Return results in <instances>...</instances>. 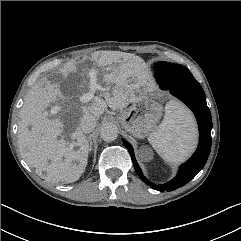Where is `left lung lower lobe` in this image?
Wrapping results in <instances>:
<instances>
[{
	"label": "left lung lower lobe",
	"mask_w": 241,
	"mask_h": 241,
	"mask_svg": "<svg viewBox=\"0 0 241 241\" xmlns=\"http://www.w3.org/2000/svg\"><path fill=\"white\" fill-rule=\"evenodd\" d=\"M155 78L161 89L169 90L171 94L183 101L193 111L198 122L200 134L199 145L196 152L186 163L181 165L178 175L173 180L159 185H156L144 178L142 170L136 162L132 146L127 141L123 140L124 145L127 147L132 157L134 168L140 178L151 188L164 192L172 191L184 186L204 167L211 150L212 119L210 110L206 103L205 93L197 81L178 87H171L156 73Z\"/></svg>",
	"instance_id": "0a47b994"
}]
</instances>
